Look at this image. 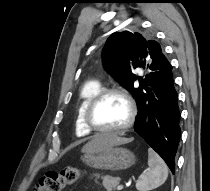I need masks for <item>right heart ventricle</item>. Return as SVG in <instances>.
<instances>
[{
    "mask_svg": "<svg viewBox=\"0 0 210 191\" xmlns=\"http://www.w3.org/2000/svg\"><path fill=\"white\" fill-rule=\"evenodd\" d=\"M100 90L101 86L97 81H88L82 86L75 120V131L77 135L87 136L92 133V131L86 127L83 117L88 103Z\"/></svg>",
    "mask_w": 210,
    "mask_h": 191,
    "instance_id": "1",
    "label": "right heart ventricle"
}]
</instances>
